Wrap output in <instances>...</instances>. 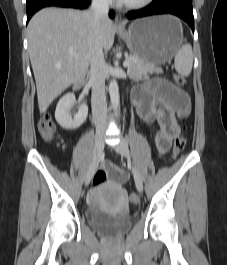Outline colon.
<instances>
[{
	"label": "colon",
	"mask_w": 227,
	"mask_h": 265,
	"mask_svg": "<svg viewBox=\"0 0 227 265\" xmlns=\"http://www.w3.org/2000/svg\"><path fill=\"white\" fill-rule=\"evenodd\" d=\"M173 80L179 86H183L186 83L185 76L181 74H174ZM38 129L43 140L50 141L54 137L56 133V126L49 114H44L41 117V119L39 120ZM186 144L187 140L183 135H179L175 139L172 151L173 158H177L180 155V153L185 149ZM106 178H107V172L104 170H99L93 178V185L98 186L102 184L103 182H105ZM130 200L132 203L135 204L138 203L139 201L136 194H131Z\"/></svg>",
	"instance_id": "1"
}]
</instances>
